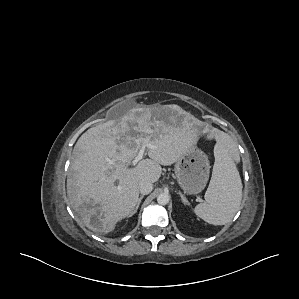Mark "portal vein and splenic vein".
<instances>
[{"mask_svg": "<svg viewBox=\"0 0 299 299\" xmlns=\"http://www.w3.org/2000/svg\"><path fill=\"white\" fill-rule=\"evenodd\" d=\"M146 147H150V145L143 143L137 156L132 161L133 165L137 164L143 157ZM111 164H114L112 161H110Z\"/></svg>", "mask_w": 299, "mask_h": 299, "instance_id": "portal-vein-and-splenic-vein-1", "label": "portal vein and splenic vein"}]
</instances>
